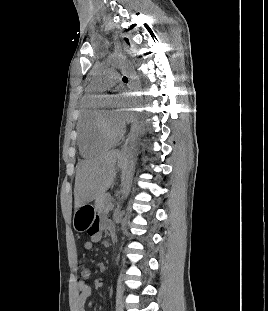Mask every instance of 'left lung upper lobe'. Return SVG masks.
I'll list each match as a JSON object with an SVG mask.
<instances>
[{"label": "left lung upper lobe", "mask_w": 268, "mask_h": 311, "mask_svg": "<svg viewBox=\"0 0 268 311\" xmlns=\"http://www.w3.org/2000/svg\"><path fill=\"white\" fill-rule=\"evenodd\" d=\"M125 40H126V42H127L128 44H129V41H128V39L126 38Z\"/></svg>", "instance_id": "obj_1"}]
</instances>
